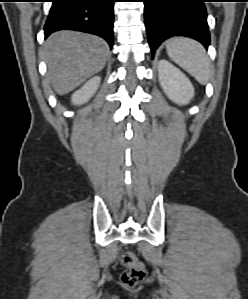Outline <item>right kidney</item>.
Returning <instances> with one entry per match:
<instances>
[{"label": "right kidney", "instance_id": "ca27d5eb", "mask_svg": "<svg viewBox=\"0 0 248 299\" xmlns=\"http://www.w3.org/2000/svg\"><path fill=\"white\" fill-rule=\"evenodd\" d=\"M101 78L96 76L88 80L79 90L75 91L72 95V103L81 105L87 103L90 98L96 93Z\"/></svg>", "mask_w": 248, "mask_h": 299}]
</instances>
